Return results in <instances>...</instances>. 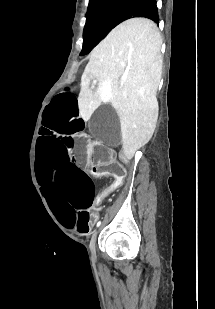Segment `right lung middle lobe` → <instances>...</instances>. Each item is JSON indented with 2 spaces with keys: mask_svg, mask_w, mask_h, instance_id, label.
Wrapping results in <instances>:
<instances>
[{
  "mask_svg": "<svg viewBox=\"0 0 215 309\" xmlns=\"http://www.w3.org/2000/svg\"><path fill=\"white\" fill-rule=\"evenodd\" d=\"M130 1L89 0L80 55L89 53L117 25V20Z\"/></svg>",
  "mask_w": 215,
  "mask_h": 309,
  "instance_id": "right-lung-middle-lobe-1",
  "label": "right lung middle lobe"
}]
</instances>
